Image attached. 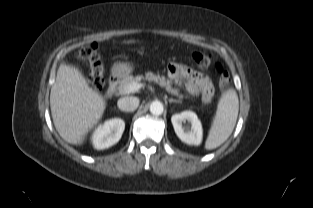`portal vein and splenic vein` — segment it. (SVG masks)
Masks as SVG:
<instances>
[{
  "mask_svg": "<svg viewBox=\"0 0 313 208\" xmlns=\"http://www.w3.org/2000/svg\"><path fill=\"white\" fill-rule=\"evenodd\" d=\"M142 87V84L140 83H132L127 87L128 93H135Z\"/></svg>",
  "mask_w": 313,
  "mask_h": 208,
  "instance_id": "1",
  "label": "portal vein and splenic vein"
}]
</instances>
